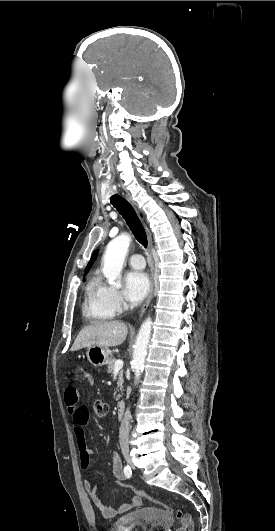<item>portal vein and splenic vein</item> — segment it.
I'll list each match as a JSON object with an SVG mask.
<instances>
[{
	"label": "portal vein and splenic vein",
	"mask_w": 275,
	"mask_h": 531,
	"mask_svg": "<svg viewBox=\"0 0 275 531\" xmlns=\"http://www.w3.org/2000/svg\"><path fill=\"white\" fill-rule=\"evenodd\" d=\"M123 367V361L119 359V361H115L114 369H122Z\"/></svg>",
	"instance_id": "portal-vein-and-splenic-vein-1"
}]
</instances>
